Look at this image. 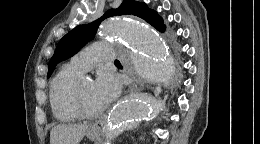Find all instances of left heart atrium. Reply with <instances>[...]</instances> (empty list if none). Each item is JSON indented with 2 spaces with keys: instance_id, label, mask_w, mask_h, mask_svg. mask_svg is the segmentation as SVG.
Wrapping results in <instances>:
<instances>
[{
  "instance_id": "39dd6f15",
  "label": "left heart atrium",
  "mask_w": 260,
  "mask_h": 144,
  "mask_svg": "<svg viewBox=\"0 0 260 144\" xmlns=\"http://www.w3.org/2000/svg\"><path fill=\"white\" fill-rule=\"evenodd\" d=\"M120 90V81L111 73H101L95 82V94L103 107L113 101L119 95Z\"/></svg>"
}]
</instances>
